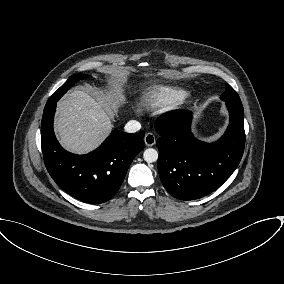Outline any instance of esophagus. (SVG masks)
<instances>
[{
  "label": "esophagus",
  "instance_id": "obj_1",
  "mask_svg": "<svg viewBox=\"0 0 284 284\" xmlns=\"http://www.w3.org/2000/svg\"><path fill=\"white\" fill-rule=\"evenodd\" d=\"M144 142L146 146H153L156 143V137L153 133H147L144 137Z\"/></svg>",
  "mask_w": 284,
  "mask_h": 284
}]
</instances>
